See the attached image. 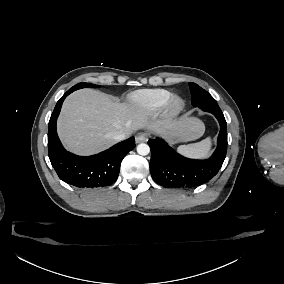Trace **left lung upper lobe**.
I'll list each match as a JSON object with an SVG mask.
<instances>
[{"instance_id":"obj_1","label":"left lung upper lobe","mask_w":284,"mask_h":284,"mask_svg":"<svg viewBox=\"0 0 284 284\" xmlns=\"http://www.w3.org/2000/svg\"><path fill=\"white\" fill-rule=\"evenodd\" d=\"M189 87L192 96V105L194 107L205 103H216L214 98L206 90L202 89L197 84L190 82Z\"/></svg>"}]
</instances>
